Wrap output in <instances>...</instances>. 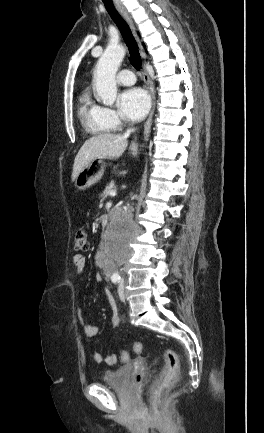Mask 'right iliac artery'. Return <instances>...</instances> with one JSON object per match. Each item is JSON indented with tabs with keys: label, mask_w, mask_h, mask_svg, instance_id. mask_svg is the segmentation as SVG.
Here are the masks:
<instances>
[{
	"label": "right iliac artery",
	"mask_w": 264,
	"mask_h": 433,
	"mask_svg": "<svg viewBox=\"0 0 264 433\" xmlns=\"http://www.w3.org/2000/svg\"><path fill=\"white\" fill-rule=\"evenodd\" d=\"M120 281V277H112L113 283H118Z\"/></svg>",
	"instance_id": "82829eb1"
}]
</instances>
